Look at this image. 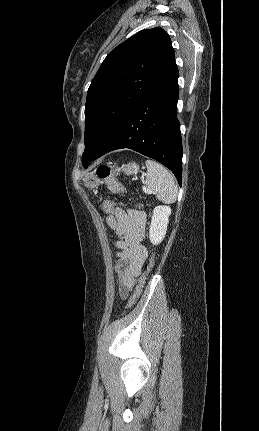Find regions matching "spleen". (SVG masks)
I'll return each mask as SVG.
<instances>
[{
	"instance_id": "spleen-1",
	"label": "spleen",
	"mask_w": 259,
	"mask_h": 431,
	"mask_svg": "<svg viewBox=\"0 0 259 431\" xmlns=\"http://www.w3.org/2000/svg\"><path fill=\"white\" fill-rule=\"evenodd\" d=\"M147 167L146 185L155 194L156 199L164 203L176 201L178 189L172 174L161 164L151 159L145 162Z\"/></svg>"
}]
</instances>
